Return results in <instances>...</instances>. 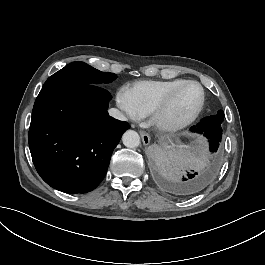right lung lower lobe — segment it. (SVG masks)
Wrapping results in <instances>:
<instances>
[{
	"instance_id": "obj_1",
	"label": "right lung lower lobe",
	"mask_w": 265,
	"mask_h": 265,
	"mask_svg": "<svg viewBox=\"0 0 265 265\" xmlns=\"http://www.w3.org/2000/svg\"><path fill=\"white\" fill-rule=\"evenodd\" d=\"M111 95L97 85L43 88L33 107L29 148L41 178L65 193H86L106 175L130 126L107 113Z\"/></svg>"
}]
</instances>
